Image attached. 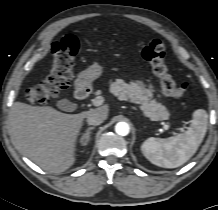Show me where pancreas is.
Here are the masks:
<instances>
[{
	"instance_id": "1",
	"label": "pancreas",
	"mask_w": 218,
	"mask_h": 210,
	"mask_svg": "<svg viewBox=\"0 0 218 210\" xmlns=\"http://www.w3.org/2000/svg\"><path fill=\"white\" fill-rule=\"evenodd\" d=\"M110 91L119 100H129L132 103L140 104L144 115L152 120H166L170 116L164 105L151 100L152 89L147 88L141 81L126 83L122 79H117L110 84Z\"/></svg>"
}]
</instances>
